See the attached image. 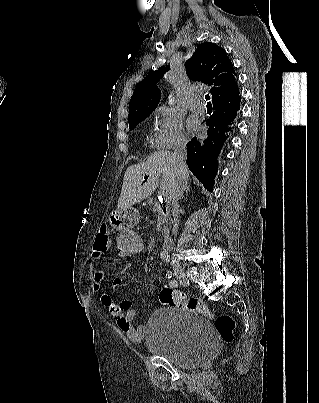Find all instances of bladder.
<instances>
[{
  "mask_svg": "<svg viewBox=\"0 0 319 403\" xmlns=\"http://www.w3.org/2000/svg\"><path fill=\"white\" fill-rule=\"evenodd\" d=\"M146 347L184 368L205 364L220 347L216 333L202 315L180 308L153 312L146 324Z\"/></svg>",
  "mask_w": 319,
  "mask_h": 403,
  "instance_id": "1",
  "label": "bladder"
}]
</instances>
